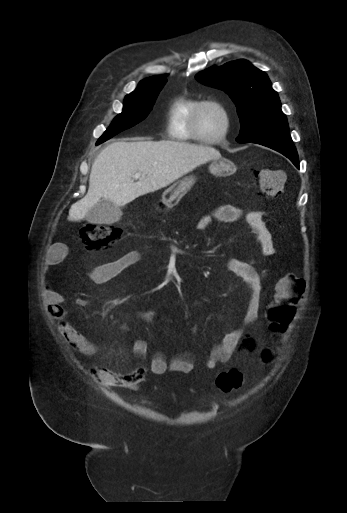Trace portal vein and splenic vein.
I'll return each instance as SVG.
<instances>
[{"mask_svg": "<svg viewBox=\"0 0 347 513\" xmlns=\"http://www.w3.org/2000/svg\"><path fill=\"white\" fill-rule=\"evenodd\" d=\"M133 177L134 178H144V175L141 173H136Z\"/></svg>", "mask_w": 347, "mask_h": 513, "instance_id": "18ae733b", "label": "portal vein and splenic vein"}]
</instances>
